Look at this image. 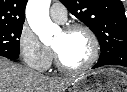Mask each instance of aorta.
Segmentation results:
<instances>
[{"instance_id": "762f6f07", "label": "aorta", "mask_w": 127, "mask_h": 92, "mask_svg": "<svg viewBox=\"0 0 127 92\" xmlns=\"http://www.w3.org/2000/svg\"><path fill=\"white\" fill-rule=\"evenodd\" d=\"M50 0H29L26 6V18L31 29L43 43L52 41L59 30L49 17Z\"/></svg>"}]
</instances>
